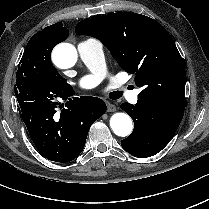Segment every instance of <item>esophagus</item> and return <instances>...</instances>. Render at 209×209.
Segmentation results:
<instances>
[{"instance_id":"34e87169","label":"esophagus","mask_w":209,"mask_h":209,"mask_svg":"<svg viewBox=\"0 0 209 209\" xmlns=\"http://www.w3.org/2000/svg\"><path fill=\"white\" fill-rule=\"evenodd\" d=\"M115 110H116V106L112 104L111 102L107 101V111L114 112Z\"/></svg>"}]
</instances>
